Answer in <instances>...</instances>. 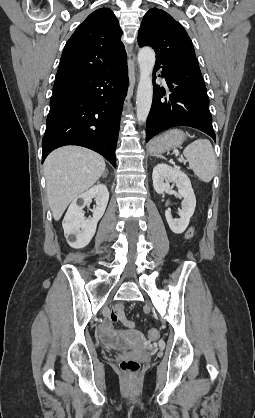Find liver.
Listing matches in <instances>:
<instances>
[{"label": "liver", "mask_w": 255, "mask_h": 418, "mask_svg": "<svg viewBox=\"0 0 255 418\" xmlns=\"http://www.w3.org/2000/svg\"><path fill=\"white\" fill-rule=\"evenodd\" d=\"M104 158L89 149L65 146L44 162L48 202L56 221L78 195L92 187L105 171Z\"/></svg>", "instance_id": "liver-1"}]
</instances>
